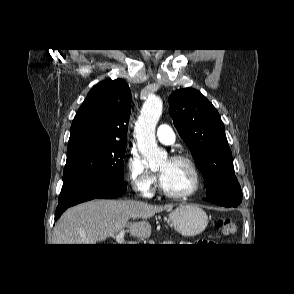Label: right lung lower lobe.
<instances>
[{
    "label": "right lung lower lobe",
    "instance_id": "obj_1",
    "mask_svg": "<svg viewBox=\"0 0 294 294\" xmlns=\"http://www.w3.org/2000/svg\"><path fill=\"white\" fill-rule=\"evenodd\" d=\"M126 188L124 183L95 180L79 182L64 188L59 195L55 219L71 206L96 198H116L124 194Z\"/></svg>",
    "mask_w": 294,
    "mask_h": 294
}]
</instances>
